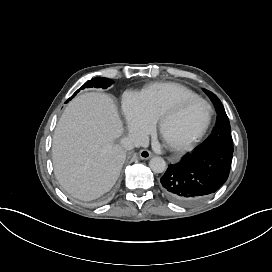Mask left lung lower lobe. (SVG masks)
Wrapping results in <instances>:
<instances>
[{
    "instance_id": "1",
    "label": "left lung lower lobe",
    "mask_w": 272,
    "mask_h": 272,
    "mask_svg": "<svg viewBox=\"0 0 272 272\" xmlns=\"http://www.w3.org/2000/svg\"><path fill=\"white\" fill-rule=\"evenodd\" d=\"M233 152L223 149L197 150L160 179L164 195L179 205H191L216 192L227 180Z\"/></svg>"
}]
</instances>
